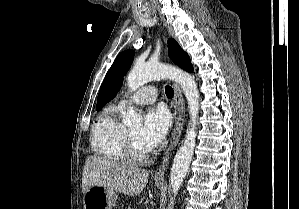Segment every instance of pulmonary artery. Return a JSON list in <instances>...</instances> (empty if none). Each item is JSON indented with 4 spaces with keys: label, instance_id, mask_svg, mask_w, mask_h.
I'll list each match as a JSON object with an SVG mask.
<instances>
[{
    "label": "pulmonary artery",
    "instance_id": "1",
    "mask_svg": "<svg viewBox=\"0 0 299 209\" xmlns=\"http://www.w3.org/2000/svg\"><path fill=\"white\" fill-rule=\"evenodd\" d=\"M157 99V89L153 85H147L139 88L138 90L131 93L128 97L123 98L119 101L118 106L125 108L130 104H151Z\"/></svg>",
    "mask_w": 299,
    "mask_h": 209
}]
</instances>
